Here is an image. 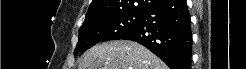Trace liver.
I'll return each instance as SVG.
<instances>
[{
    "instance_id": "liver-1",
    "label": "liver",
    "mask_w": 246,
    "mask_h": 69,
    "mask_svg": "<svg viewBox=\"0 0 246 69\" xmlns=\"http://www.w3.org/2000/svg\"><path fill=\"white\" fill-rule=\"evenodd\" d=\"M78 69H167V66L138 43L110 41L89 49Z\"/></svg>"
}]
</instances>
